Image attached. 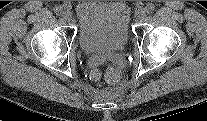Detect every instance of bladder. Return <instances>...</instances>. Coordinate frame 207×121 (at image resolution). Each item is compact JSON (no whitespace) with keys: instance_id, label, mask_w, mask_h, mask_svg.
Returning <instances> with one entry per match:
<instances>
[{"instance_id":"bladder-1","label":"bladder","mask_w":207,"mask_h":121,"mask_svg":"<svg viewBox=\"0 0 207 121\" xmlns=\"http://www.w3.org/2000/svg\"><path fill=\"white\" fill-rule=\"evenodd\" d=\"M78 38L88 53H110L124 49L129 38L130 6L124 1H81L75 8Z\"/></svg>"}]
</instances>
